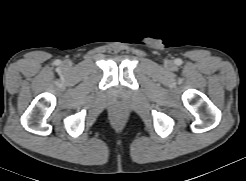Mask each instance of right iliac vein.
I'll list each match as a JSON object with an SVG mask.
<instances>
[{
  "instance_id": "right-iliac-vein-1",
  "label": "right iliac vein",
  "mask_w": 246,
  "mask_h": 181,
  "mask_svg": "<svg viewBox=\"0 0 246 181\" xmlns=\"http://www.w3.org/2000/svg\"><path fill=\"white\" fill-rule=\"evenodd\" d=\"M65 66H66V67H70V66H71L70 62H66V63H65Z\"/></svg>"
}]
</instances>
